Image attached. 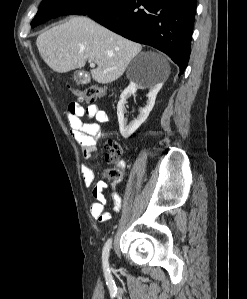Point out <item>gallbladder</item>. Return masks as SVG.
Returning a JSON list of instances; mask_svg holds the SVG:
<instances>
[{"mask_svg":"<svg viewBox=\"0 0 247 299\" xmlns=\"http://www.w3.org/2000/svg\"><path fill=\"white\" fill-rule=\"evenodd\" d=\"M73 80L77 85L84 84L90 81V77L84 71H75L73 74Z\"/></svg>","mask_w":247,"mask_h":299,"instance_id":"gallbladder-1","label":"gallbladder"}]
</instances>
